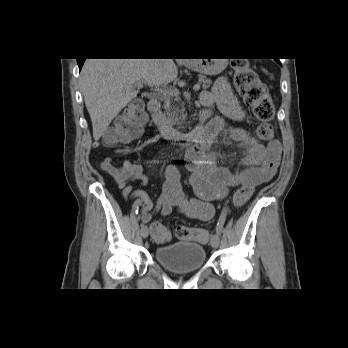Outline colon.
Instances as JSON below:
<instances>
[{
  "label": "colon",
  "instance_id": "1",
  "mask_svg": "<svg viewBox=\"0 0 348 348\" xmlns=\"http://www.w3.org/2000/svg\"><path fill=\"white\" fill-rule=\"evenodd\" d=\"M232 68L233 81L237 91L260 122L255 131L256 139L259 141L271 140L275 132L272 123L274 104L267 86L259 79L247 60L235 59ZM145 122L146 115L143 104L139 102L132 103L105 130L102 136L103 144L107 147H113L119 143L137 138L141 134ZM252 193L253 187L250 185L239 187L233 195V205L236 208L242 207L249 200ZM150 228L156 242L165 243L170 240V231L166 226L154 222ZM176 237L184 241L205 243L208 241L209 234L205 230L181 225L176 229Z\"/></svg>",
  "mask_w": 348,
  "mask_h": 348
}]
</instances>
